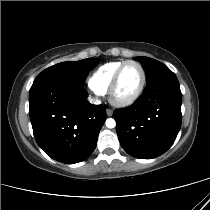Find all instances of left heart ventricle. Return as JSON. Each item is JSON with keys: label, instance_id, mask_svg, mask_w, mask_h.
Masks as SVG:
<instances>
[{"label": "left heart ventricle", "instance_id": "obj_1", "mask_svg": "<svg viewBox=\"0 0 210 210\" xmlns=\"http://www.w3.org/2000/svg\"><path fill=\"white\" fill-rule=\"evenodd\" d=\"M141 72L137 65L128 64L122 71L115 96L124 99L131 96L139 87Z\"/></svg>", "mask_w": 210, "mask_h": 210}]
</instances>
